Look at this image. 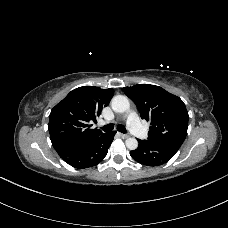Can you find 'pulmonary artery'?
Returning <instances> with one entry per match:
<instances>
[{
    "instance_id": "pulmonary-artery-1",
    "label": "pulmonary artery",
    "mask_w": 228,
    "mask_h": 228,
    "mask_svg": "<svg viewBox=\"0 0 228 228\" xmlns=\"http://www.w3.org/2000/svg\"><path fill=\"white\" fill-rule=\"evenodd\" d=\"M127 125L129 129L139 138L146 139L148 133L145 128L141 125L139 118L135 112H131L127 118Z\"/></svg>"
}]
</instances>
